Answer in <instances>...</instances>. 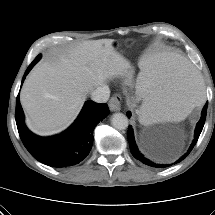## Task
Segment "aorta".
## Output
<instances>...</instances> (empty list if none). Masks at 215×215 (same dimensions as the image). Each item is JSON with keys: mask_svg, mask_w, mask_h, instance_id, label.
I'll list each match as a JSON object with an SVG mask.
<instances>
[{"mask_svg": "<svg viewBox=\"0 0 215 215\" xmlns=\"http://www.w3.org/2000/svg\"><path fill=\"white\" fill-rule=\"evenodd\" d=\"M111 124L118 130H124L128 127V118L123 113H115L112 115Z\"/></svg>", "mask_w": 215, "mask_h": 215, "instance_id": "1", "label": "aorta"}]
</instances>
